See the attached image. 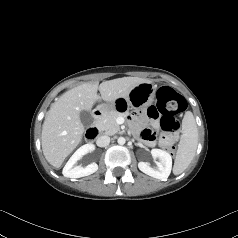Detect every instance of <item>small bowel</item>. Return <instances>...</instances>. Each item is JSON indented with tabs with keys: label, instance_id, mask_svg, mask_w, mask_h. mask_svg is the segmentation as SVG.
<instances>
[{
	"label": "small bowel",
	"instance_id": "c3829d8e",
	"mask_svg": "<svg viewBox=\"0 0 238 238\" xmlns=\"http://www.w3.org/2000/svg\"><path fill=\"white\" fill-rule=\"evenodd\" d=\"M144 115L134 116L131 121L135 128L140 129L141 139L149 146H153L156 143V134L149 128H141L142 124L145 121V118L148 121L153 122L154 127H158L159 123L157 120L160 118L161 112L157 106L151 105L145 109Z\"/></svg>",
	"mask_w": 238,
	"mask_h": 238
}]
</instances>
